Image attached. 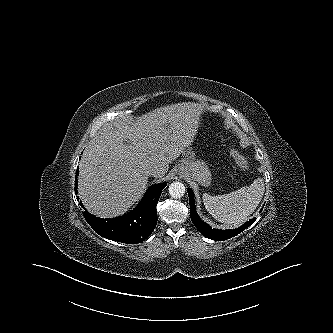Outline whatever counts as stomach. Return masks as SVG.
<instances>
[{
  "instance_id": "stomach-1",
  "label": "stomach",
  "mask_w": 333,
  "mask_h": 333,
  "mask_svg": "<svg viewBox=\"0 0 333 333\" xmlns=\"http://www.w3.org/2000/svg\"><path fill=\"white\" fill-rule=\"evenodd\" d=\"M178 173L198 181L203 186H209L211 183L212 175L209 167L203 160L197 159L192 150L184 153L178 166Z\"/></svg>"
}]
</instances>
